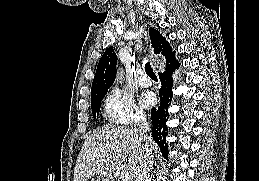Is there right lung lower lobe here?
Here are the masks:
<instances>
[{"label": "right lung lower lobe", "instance_id": "obj_1", "mask_svg": "<svg viewBox=\"0 0 259 181\" xmlns=\"http://www.w3.org/2000/svg\"><path fill=\"white\" fill-rule=\"evenodd\" d=\"M179 67V62L175 61L174 55L166 61V68L163 73L159 72L161 80V89L159 90L160 106L152 108V137L159 145L161 152L165 158H168V147L166 143L167 127L166 121L169 117L168 107L172 99V74L175 68Z\"/></svg>", "mask_w": 259, "mask_h": 181}]
</instances>
